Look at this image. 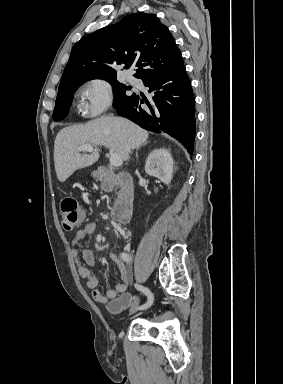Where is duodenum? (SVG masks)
I'll return each mask as SVG.
<instances>
[{
  "label": "duodenum",
  "instance_id": "1",
  "mask_svg": "<svg viewBox=\"0 0 283 384\" xmlns=\"http://www.w3.org/2000/svg\"><path fill=\"white\" fill-rule=\"evenodd\" d=\"M100 180L116 181L122 189L118 202L113 209L112 218L118 224L130 222L133 214L135 192L132 178L128 173L112 174L108 168L101 166L98 168Z\"/></svg>",
  "mask_w": 283,
  "mask_h": 384
}]
</instances>
